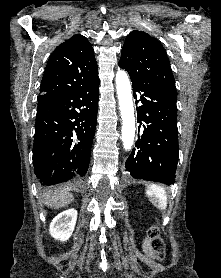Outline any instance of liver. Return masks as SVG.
I'll return each instance as SVG.
<instances>
[{"label":"liver","mask_w":221,"mask_h":278,"mask_svg":"<svg viewBox=\"0 0 221 278\" xmlns=\"http://www.w3.org/2000/svg\"><path fill=\"white\" fill-rule=\"evenodd\" d=\"M74 197L67 188L60 190L49 191L45 194L44 204L53 209H59L69 205Z\"/></svg>","instance_id":"liver-1"}]
</instances>
